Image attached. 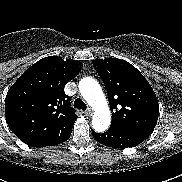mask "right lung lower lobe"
Masks as SVG:
<instances>
[{
    "instance_id": "right-lung-lower-lobe-1",
    "label": "right lung lower lobe",
    "mask_w": 182,
    "mask_h": 182,
    "mask_svg": "<svg viewBox=\"0 0 182 182\" xmlns=\"http://www.w3.org/2000/svg\"><path fill=\"white\" fill-rule=\"evenodd\" d=\"M72 131V130H71ZM71 131L55 138V139H51V140H47V141H44V142H40V143H37V144H34V145H30V146H33V147H44V146H52V145H58L60 143H63L65 142L71 135Z\"/></svg>"
}]
</instances>
